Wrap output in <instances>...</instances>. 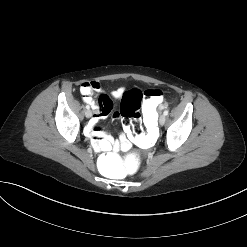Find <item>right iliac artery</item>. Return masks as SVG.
Returning <instances> with one entry per match:
<instances>
[{
	"label": "right iliac artery",
	"instance_id": "82829eb1",
	"mask_svg": "<svg viewBox=\"0 0 247 247\" xmlns=\"http://www.w3.org/2000/svg\"><path fill=\"white\" fill-rule=\"evenodd\" d=\"M86 109H88V110L90 109L89 105H86Z\"/></svg>",
	"mask_w": 247,
	"mask_h": 247
}]
</instances>
